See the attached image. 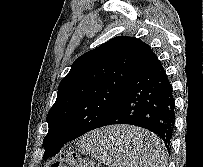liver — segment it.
<instances>
[{
	"label": "liver",
	"mask_w": 203,
	"mask_h": 167,
	"mask_svg": "<svg viewBox=\"0 0 203 167\" xmlns=\"http://www.w3.org/2000/svg\"><path fill=\"white\" fill-rule=\"evenodd\" d=\"M107 133L110 139L119 141L117 145L133 160L144 155L145 144L153 138L148 131L133 126L111 127Z\"/></svg>",
	"instance_id": "1"
}]
</instances>
